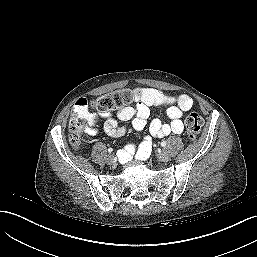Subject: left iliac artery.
<instances>
[{"label": "left iliac artery", "instance_id": "44dca946", "mask_svg": "<svg viewBox=\"0 0 257 257\" xmlns=\"http://www.w3.org/2000/svg\"><path fill=\"white\" fill-rule=\"evenodd\" d=\"M166 145H167V142H166V141L161 142V146H162V147H165Z\"/></svg>", "mask_w": 257, "mask_h": 257}]
</instances>
